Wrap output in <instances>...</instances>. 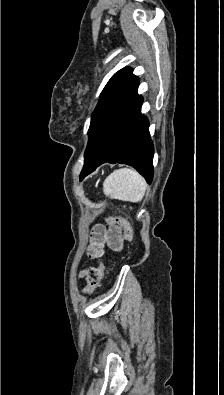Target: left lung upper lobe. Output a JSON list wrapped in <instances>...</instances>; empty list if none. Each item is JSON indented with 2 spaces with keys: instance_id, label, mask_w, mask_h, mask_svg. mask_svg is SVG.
I'll list each match as a JSON object with an SVG mask.
<instances>
[{
  "instance_id": "1",
  "label": "left lung upper lobe",
  "mask_w": 224,
  "mask_h": 395,
  "mask_svg": "<svg viewBox=\"0 0 224 395\" xmlns=\"http://www.w3.org/2000/svg\"><path fill=\"white\" fill-rule=\"evenodd\" d=\"M136 78L132 74L131 68H123L112 76L105 86L95 111L92 114L89 132L97 113Z\"/></svg>"
}]
</instances>
